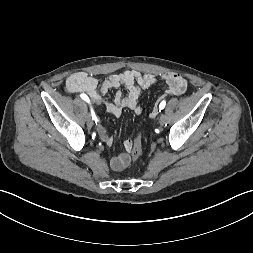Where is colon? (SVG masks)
Returning <instances> with one entry per match:
<instances>
[{
  "instance_id": "obj_1",
  "label": "colon",
  "mask_w": 253,
  "mask_h": 253,
  "mask_svg": "<svg viewBox=\"0 0 253 253\" xmlns=\"http://www.w3.org/2000/svg\"><path fill=\"white\" fill-rule=\"evenodd\" d=\"M131 158L133 161H137L142 155V144L140 137L137 136L131 145Z\"/></svg>"
}]
</instances>
